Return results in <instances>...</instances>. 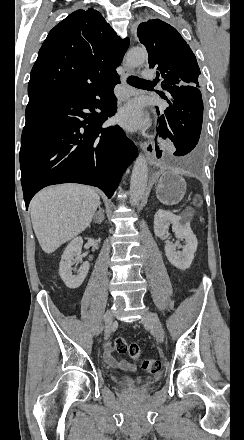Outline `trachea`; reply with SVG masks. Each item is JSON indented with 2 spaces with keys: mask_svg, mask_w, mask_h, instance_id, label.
<instances>
[{
  "mask_svg": "<svg viewBox=\"0 0 244 440\" xmlns=\"http://www.w3.org/2000/svg\"><path fill=\"white\" fill-rule=\"evenodd\" d=\"M127 82L133 87H139L143 83H153L150 80H144L143 78L131 76L128 78Z\"/></svg>",
  "mask_w": 244,
  "mask_h": 440,
  "instance_id": "3493384b",
  "label": "trachea"
}]
</instances>
